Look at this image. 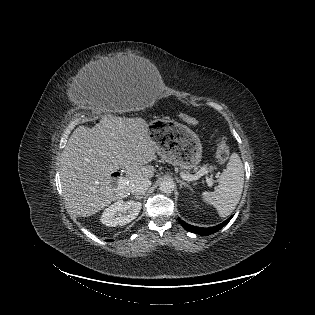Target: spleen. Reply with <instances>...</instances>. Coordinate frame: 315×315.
I'll return each mask as SVG.
<instances>
[{
	"label": "spleen",
	"instance_id": "obj_1",
	"mask_svg": "<svg viewBox=\"0 0 315 315\" xmlns=\"http://www.w3.org/2000/svg\"><path fill=\"white\" fill-rule=\"evenodd\" d=\"M244 185V167L237 153L230 156L227 167L221 173L219 185L213 192L205 191L202 200L213 205L220 217L229 216L239 203Z\"/></svg>",
	"mask_w": 315,
	"mask_h": 315
}]
</instances>
